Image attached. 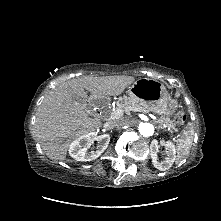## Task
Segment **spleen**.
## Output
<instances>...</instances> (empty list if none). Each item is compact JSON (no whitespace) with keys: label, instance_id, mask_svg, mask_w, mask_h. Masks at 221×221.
Instances as JSON below:
<instances>
[{"label":"spleen","instance_id":"obj_1","mask_svg":"<svg viewBox=\"0 0 221 221\" xmlns=\"http://www.w3.org/2000/svg\"><path fill=\"white\" fill-rule=\"evenodd\" d=\"M194 133L190 127L183 130L182 136L176 140L178 159L185 158L191 149Z\"/></svg>","mask_w":221,"mask_h":221}]
</instances>
